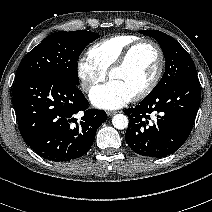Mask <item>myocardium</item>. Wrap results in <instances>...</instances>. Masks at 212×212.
Wrapping results in <instances>:
<instances>
[{
  "instance_id": "obj_1",
  "label": "myocardium",
  "mask_w": 212,
  "mask_h": 212,
  "mask_svg": "<svg viewBox=\"0 0 212 212\" xmlns=\"http://www.w3.org/2000/svg\"><path fill=\"white\" fill-rule=\"evenodd\" d=\"M143 45H148L155 50L157 57H158V64H157V69H156L154 76L152 77V79L149 81V83L142 90H140L138 93H136L133 96L134 100H140V99L145 98L158 85V83H159V81L162 77V74H163V71H164V66H165V57H164V53H163L161 47L156 42H154L152 40L139 39V40L133 42L132 44H130L123 51V53L120 55L118 60L111 66V68L108 71V78L110 79L111 76L115 72L123 69L127 65V63L129 61L130 57L132 56L133 52L137 48H139Z\"/></svg>"
}]
</instances>
